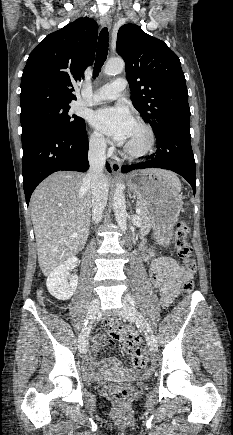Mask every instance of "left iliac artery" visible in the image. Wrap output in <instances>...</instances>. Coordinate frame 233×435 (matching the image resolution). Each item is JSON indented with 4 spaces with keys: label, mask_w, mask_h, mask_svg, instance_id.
Segmentation results:
<instances>
[{
    "label": "left iliac artery",
    "mask_w": 233,
    "mask_h": 435,
    "mask_svg": "<svg viewBox=\"0 0 233 435\" xmlns=\"http://www.w3.org/2000/svg\"><path fill=\"white\" fill-rule=\"evenodd\" d=\"M127 300H128L131 304H133V305L136 304V302L134 301V299H133L131 296H128ZM147 329H148L149 332H152V331H151V328L149 327L148 324H147Z\"/></svg>",
    "instance_id": "obj_1"
}]
</instances>
